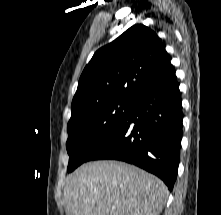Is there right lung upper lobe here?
<instances>
[{
    "label": "right lung upper lobe",
    "mask_w": 221,
    "mask_h": 215,
    "mask_svg": "<svg viewBox=\"0 0 221 215\" xmlns=\"http://www.w3.org/2000/svg\"><path fill=\"white\" fill-rule=\"evenodd\" d=\"M175 75L157 34L136 24L95 52L78 82L71 107L105 100L134 101Z\"/></svg>",
    "instance_id": "right-lung-upper-lobe-1"
}]
</instances>
